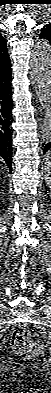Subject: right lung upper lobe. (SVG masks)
Listing matches in <instances>:
<instances>
[{
  "instance_id": "obj_1",
  "label": "right lung upper lobe",
  "mask_w": 51,
  "mask_h": 393,
  "mask_svg": "<svg viewBox=\"0 0 51 393\" xmlns=\"http://www.w3.org/2000/svg\"><path fill=\"white\" fill-rule=\"evenodd\" d=\"M11 69V62L8 55L5 39L0 34V75Z\"/></svg>"
}]
</instances>
